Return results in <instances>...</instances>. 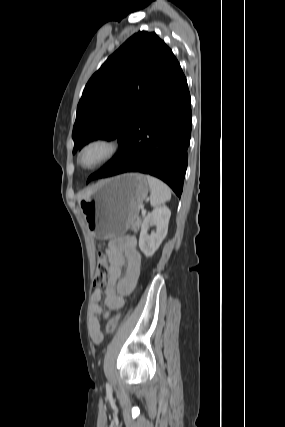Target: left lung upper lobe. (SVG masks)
<instances>
[{
    "label": "left lung upper lobe",
    "instance_id": "obj_1",
    "mask_svg": "<svg viewBox=\"0 0 285 427\" xmlns=\"http://www.w3.org/2000/svg\"><path fill=\"white\" fill-rule=\"evenodd\" d=\"M171 49L155 34L135 33L88 81L73 127L75 153L91 140L123 143L164 73Z\"/></svg>",
    "mask_w": 285,
    "mask_h": 427
}]
</instances>
